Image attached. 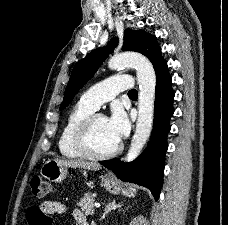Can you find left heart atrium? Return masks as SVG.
<instances>
[{
	"instance_id": "1",
	"label": "left heart atrium",
	"mask_w": 228,
	"mask_h": 225,
	"mask_svg": "<svg viewBox=\"0 0 228 225\" xmlns=\"http://www.w3.org/2000/svg\"><path fill=\"white\" fill-rule=\"evenodd\" d=\"M107 127L110 135L117 141H121L129 132V121L126 113L120 108L112 109L111 115L107 118Z\"/></svg>"
}]
</instances>
